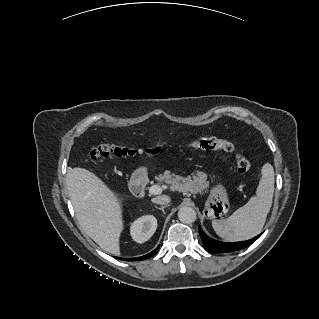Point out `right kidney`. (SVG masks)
I'll list each match as a JSON object with an SVG mask.
<instances>
[{
	"instance_id": "1",
	"label": "right kidney",
	"mask_w": 319,
	"mask_h": 319,
	"mask_svg": "<svg viewBox=\"0 0 319 319\" xmlns=\"http://www.w3.org/2000/svg\"><path fill=\"white\" fill-rule=\"evenodd\" d=\"M157 219L153 215H145L135 220L130 227V234L134 241L144 243L154 234Z\"/></svg>"
}]
</instances>
